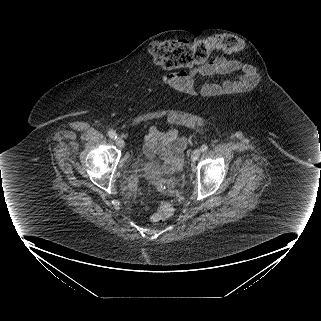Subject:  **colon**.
<instances>
[{"mask_svg": "<svg viewBox=\"0 0 321 321\" xmlns=\"http://www.w3.org/2000/svg\"><path fill=\"white\" fill-rule=\"evenodd\" d=\"M241 47V41L236 36L221 34L197 42L186 40L156 41L150 45L149 52L155 64L165 69H177L204 63L215 52H238ZM173 211L171 204L161 203L152 220L154 223H160L169 218Z\"/></svg>", "mask_w": 321, "mask_h": 321, "instance_id": "colon-1", "label": "colon"}]
</instances>
